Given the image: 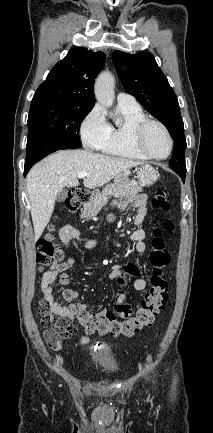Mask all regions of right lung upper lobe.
<instances>
[{"instance_id":"cb5924a9","label":"right lung upper lobe","mask_w":213,"mask_h":433,"mask_svg":"<svg viewBox=\"0 0 213 433\" xmlns=\"http://www.w3.org/2000/svg\"><path fill=\"white\" fill-rule=\"evenodd\" d=\"M105 63L103 52L73 48L50 71L32 100H55L94 107L95 78Z\"/></svg>"}]
</instances>
